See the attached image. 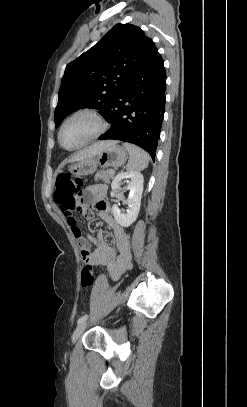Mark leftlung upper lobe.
Segmentation results:
<instances>
[{"label": "left lung upper lobe", "instance_id": "5c2ea615", "mask_svg": "<svg viewBox=\"0 0 247 407\" xmlns=\"http://www.w3.org/2000/svg\"><path fill=\"white\" fill-rule=\"evenodd\" d=\"M156 50L141 28L115 25L94 47L67 65L55 109V127L81 108L99 109L107 120L124 86Z\"/></svg>", "mask_w": 247, "mask_h": 407}]
</instances>
